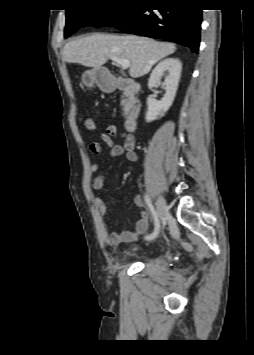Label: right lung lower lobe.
<instances>
[{
	"label": "right lung lower lobe",
	"mask_w": 254,
	"mask_h": 355,
	"mask_svg": "<svg viewBox=\"0 0 254 355\" xmlns=\"http://www.w3.org/2000/svg\"><path fill=\"white\" fill-rule=\"evenodd\" d=\"M152 7H158L153 10ZM202 9L198 0H162L133 5L111 26L136 35L162 38L199 50Z\"/></svg>",
	"instance_id": "1"
}]
</instances>
